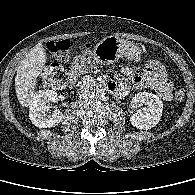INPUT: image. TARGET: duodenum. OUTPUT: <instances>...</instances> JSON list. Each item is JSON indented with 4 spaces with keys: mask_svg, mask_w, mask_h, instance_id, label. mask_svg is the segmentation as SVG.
I'll return each instance as SVG.
<instances>
[{
    "mask_svg": "<svg viewBox=\"0 0 195 195\" xmlns=\"http://www.w3.org/2000/svg\"><path fill=\"white\" fill-rule=\"evenodd\" d=\"M98 86L100 88H104L105 90L109 91L110 93L116 94L118 91V87L116 86V84L112 81H103V82H99L96 83L93 80L89 79V78H83L82 80H80L77 83V88L79 90H85L88 88H92Z\"/></svg>",
    "mask_w": 195,
    "mask_h": 195,
    "instance_id": "obj_1",
    "label": "duodenum"
}]
</instances>
